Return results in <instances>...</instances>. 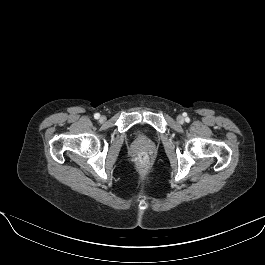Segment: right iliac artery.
<instances>
[{
    "label": "right iliac artery",
    "instance_id": "obj_1",
    "mask_svg": "<svg viewBox=\"0 0 265 265\" xmlns=\"http://www.w3.org/2000/svg\"><path fill=\"white\" fill-rule=\"evenodd\" d=\"M94 118H95V119H99V118H100V114H99V113H96V114L94 115Z\"/></svg>",
    "mask_w": 265,
    "mask_h": 265
}]
</instances>
